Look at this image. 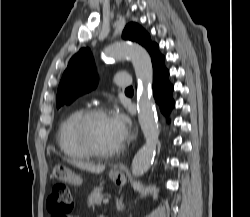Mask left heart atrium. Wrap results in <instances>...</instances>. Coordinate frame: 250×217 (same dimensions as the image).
I'll return each mask as SVG.
<instances>
[{
  "label": "left heart atrium",
  "mask_w": 250,
  "mask_h": 217,
  "mask_svg": "<svg viewBox=\"0 0 250 217\" xmlns=\"http://www.w3.org/2000/svg\"><path fill=\"white\" fill-rule=\"evenodd\" d=\"M111 124L118 136L119 141L124 142L130 133V120L123 113L115 110L109 115Z\"/></svg>",
  "instance_id": "obj_1"
}]
</instances>
